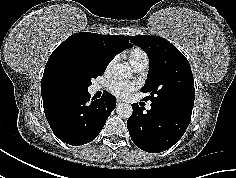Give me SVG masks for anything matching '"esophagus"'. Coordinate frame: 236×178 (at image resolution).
<instances>
[{
  "label": "esophagus",
  "instance_id": "34e87169",
  "mask_svg": "<svg viewBox=\"0 0 236 178\" xmlns=\"http://www.w3.org/2000/svg\"><path fill=\"white\" fill-rule=\"evenodd\" d=\"M121 104H123V102H122L121 100H117V101H116V105H117V106H119V105H121Z\"/></svg>",
  "mask_w": 236,
  "mask_h": 178
}]
</instances>
